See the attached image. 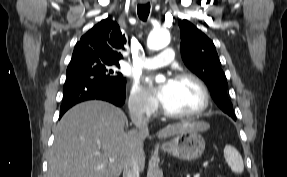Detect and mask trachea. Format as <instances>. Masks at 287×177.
Listing matches in <instances>:
<instances>
[{
  "mask_svg": "<svg viewBox=\"0 0 287 177\" xmlns=\"http://www.w3.org/2000/svg\"><path fill=\"white\" fill-rule=\"evenodd\" d=\"M150 12V3L138 5L137 13L141 20L146 21Z\"/></svg>",
  "mask_w": 287,
  "mask_h": 177,
  "instance_id": "trachea-1",
  "label": "trachea"
}]
</instances>
